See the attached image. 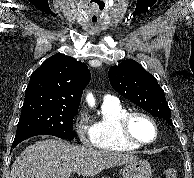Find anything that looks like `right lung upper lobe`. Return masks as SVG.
<instances>
[{
    "label": "right lung upper lobe",
    "mask_w": 194,
    "mask_h": 178,
    "mask_svg": "<svg viewBox=\"0 0 194 178\" xmlns=\"http://www.w3.org/2000/svg\"><path fill=\"white\" fill-rule=\"evenodd\" d=\"M89 80L90 71L85 63L64 54H55L32 73L25 100L50 99L79 107Z\"/></svg>",
    "instance_id": "right-lung-upper-lobe-1"
}]
</instances>
